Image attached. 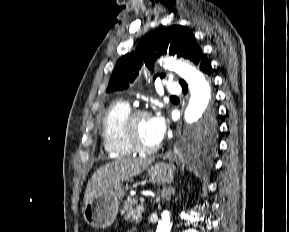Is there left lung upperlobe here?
Instances as JSON below:
<instances>
[{
    "label": "left lung upper lobe",
    "instance_id": "5c2ea615",
    "mask_svg": "<svg viewBox=\"0 0 289 232\" xmlns=\"http://www.w3.org/2000/svg\"><path fill=\"white\" fill-rule=\"evenodd\" d=\"M167 52L170 55L176 54L178 57L187 58L196 65H199L203 56L195 36L184 26L172 25L152 31L144 36L135 52L128 53L117 60L107 92L128 88L137 77L142 61L152 69L153 60ZM160 77H165V74H160ZM179 82L184 83L183 80ZM216 129L213 113L198 126L192 144L205 150L212 149L215 146Z\"/></svg>",
    "mask_w": 289,
    "mask_h": 232
}]
</instances>
